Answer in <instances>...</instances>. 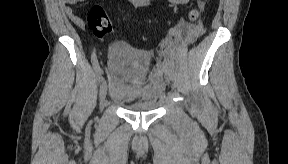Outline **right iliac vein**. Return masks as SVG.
<instances>
[{
  "label": "right iliac vein",
  "mask_w": 288,
  "mask_h": 164,
  "mask_svg": "<svg viewBox=\"0 0 288 164\" xmlns=\"http://www.w3.org/2000/svg\"><path fill=\"white\" fill-rule=\"evenodd\" d=\"M106 95H107V83L105 80H102L99 93L101 109H103L104 106L106 105Z\"/></svg>",
  "instance_id": "obj_1"
}]
</instances>
